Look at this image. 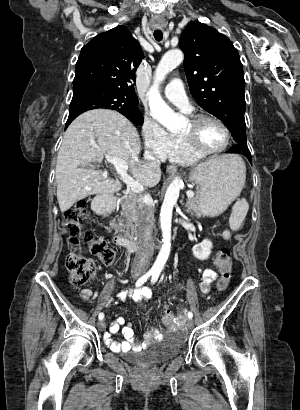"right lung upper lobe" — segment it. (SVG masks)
Masks as SVG:
<instances>
[{"mask_svg":"<svg viewBox=\"0 0 300 410\" xmlns=\"http://www.w3.org/2000/svg\"><path fill=\"white\" fill-rule=\"evenodd\" d=\"M144 58L138 41L124 26H117L94 37L80 52L74 84L89 83L117 92L138 105L135 71Z\"/></svg>","mask_w":300,"mask_h":410,"instance_id":"obj_1","label":"right lung upper lobe"}]
</instances>
